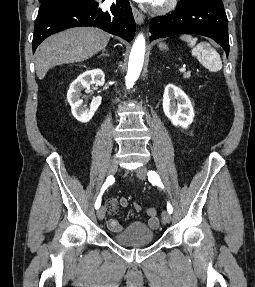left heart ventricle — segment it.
Wrapping results in <instances>:
<instances>
[{
	"label": "left heart ventricle",
	"mask_w": 255,
	"mask_h": 287,
	"mask_svg": "<svg viewBox=\"0 0 255 287\" xmlns=\"http://www.w3.org/2000/svg\"><path fill=\"white\" fill-rule=\"evenodd\" d=\"M150 33H160V32H150ZM144 39H160V38H144ZM135 48H165V47H135Z\"/></svg>",
	"instance_id": "obj_1"
}]
</instances>
